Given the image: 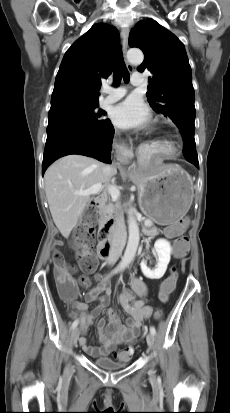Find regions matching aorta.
Wrapping results in <instances>:
<instances>
[{"label": "aorta", "mask_w": 230, "mask_h": 413, "mask_svg": "<svg viewBox=\"0 0 230 413\" xmlns=\"http://www.w3.org/2000/svg\"><path fill=\"white\" fill-rule=\"evenodd\" d=\"M127 59L132 64H141L144 59V55L140 49H130L127 52ZM128 230L129 238L126 250L120 262V268L127 267L136 255V251L139 245L140 235H139V226L136 218L134 217L133 209L128 211Z\"/></svg>", "instance_id": "aorta-1"}]
</instances>
